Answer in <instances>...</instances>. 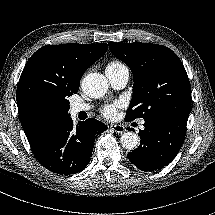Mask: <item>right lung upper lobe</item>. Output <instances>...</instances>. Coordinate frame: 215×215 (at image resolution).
<instances>
[{
  "mask_svg": "<svg viewBox=\"0 0 215 215\" xmlns=\"http://www.w3.org/2000/svg\"><path fill=\"white\" fill-rule=\"evenodd\" d=\"M107 49L106 43L46 45L27 61L17 86L16 100L32 151L67 117L57 105L77 93L83 73Z\"/></svg>",
  "mask_w": 215,
  "mask_h": 215,
  "instance_id": "right-lung-upper-lobe-1",
  "label": "right lung upper lobe"
}]
</instances>
